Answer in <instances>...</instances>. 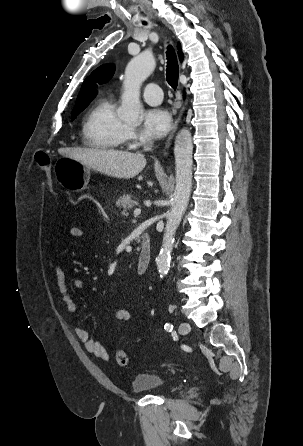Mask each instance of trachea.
Wrapping results in <instances>:
<instances>
[{
  "label": "trachea",
  "mask_w": 303,
  "mask_h": 446,
  "mask_svg": "<svg viewBox=\"0 0 303 446\" xmlns=\"http://www.w3.org/2000/svg\"><path fill=\"white\" fill-rule=\"evenodd\" d=\"M167 60L166 80L173 89H176L178 85L179 66L175 51L171 46H168Z\"/></svg>",
  "instance_id": "1"
}]
</instances>
